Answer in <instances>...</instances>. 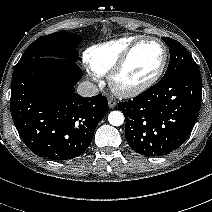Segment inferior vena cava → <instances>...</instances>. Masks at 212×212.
Segmentation results:
<instances>
[{"label":"inferior vena cava","instance_id":"1","mask_svg":"<svg viewBox=\"0 0 212 212\" xmlns=\"http://www.w3.org/2000/svg\"><path fill=\"white\" fill-rule=\"evenodd\" d=\"M77 93L83 97H91L98 94V88L89 81H83L78 85Z\"/></svg>","mask_w":212,"mask_h":212}]
</instances>
